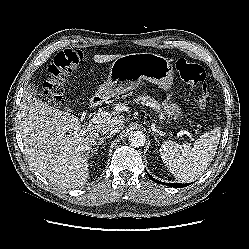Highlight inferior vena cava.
Returning a JSON list of instances; mask_svg holds the SVG:
<instances>
[{"instance_id": "inferior-vena-cava-1", "label": "inferior vena cava", "mask_w": 249, "mask_h": 249, "mask_svg": "<svg viewBox=\"0 0 249 249\" xmlns=\"http://www.w3.org/2000/svg\"><path fill=\"white\" fill-rule=\"evenodd\" d=\"M120 131V127L114 124H107L101 128V132L108 136H112Z\"/></svg>"}]
</instances>
